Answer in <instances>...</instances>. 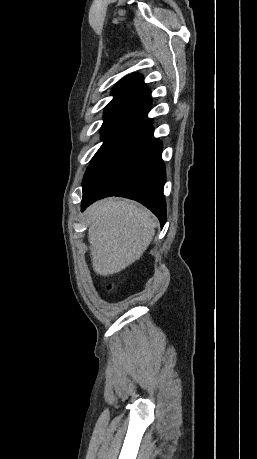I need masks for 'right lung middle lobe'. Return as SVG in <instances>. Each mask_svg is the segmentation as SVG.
<instances>
[{"mask_svg": "<svg viewBox=\"0 0 257 459\" xmlns=\"http://www.w3.org/2000/svg\"><path fill=\"white\" fill-rule=\"evenodd\" d=\"M104 114L105 119L101 127V137L104 143L96 152L91 162L107 148L108 144L121 128V126L134 115L133 113L126 111L104 112Z\"/></svg>", "mask_w": 257, "mask_h": 459, "instance_id": "obj_1", "label": "right lung middle lobe"}]
</instances>
